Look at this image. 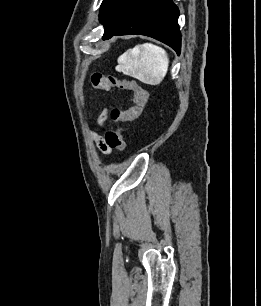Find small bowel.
<instances>
[{
  "instance_id": "small-bowel-1",
  "label": "small bowel",
  "mask_w": 261,
  "mask_h": 306,
  "mask_svg": "<svg viewBox=\"0 0 261 306\" xmlns=\"http://www.w3.org/2000/svg\"><path fill=\"white\" fill-rule=\"evenodd\" d=\"M105 119V114L102 115L101 117V121H103ZM93 139L94 141L98 144V146L100 147V149L104 152V153H109L111 152V148H109L105 142V140L103 139V137H101L100 135L93 133Z\"/></svg>"
}]
</instances>
